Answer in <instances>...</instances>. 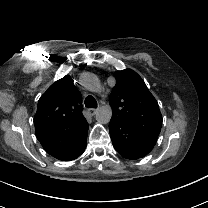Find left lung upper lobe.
I'll use <instances>...</instances> for the list:
<instances>
[{
  "label": "left lung upper lobe",
  "mask_w": 208,
  "mask_h": 208,
  "mask_svg": "<svg viewBox=\"0 0 208 208\" xmlns=\"http://www.w3.org/2000/svg\"><path fill=\"white\" fill-rule=\"evenodd\" d=\"M115 78L116 85L109 98L112 116L129 123L152 144H156L162 126L156 99L133 70L117 71Z\"/></svg>",
  "instance_id": "obj_1"
}]
</instances>
